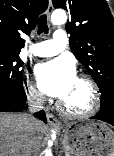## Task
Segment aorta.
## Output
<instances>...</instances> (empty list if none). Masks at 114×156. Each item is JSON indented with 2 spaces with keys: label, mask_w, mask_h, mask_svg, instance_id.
Returning a JSON list of instances; mask_svg holds the SVG:
<instances>
[{
  "label": "aorta",
  "mask_w": 114,
  "mask_h": 156,
  "mask_svg": "<svg viewBox=\"0 0 114 156\" xmlns=\"http://www.w3.org/2000/svg\"><path fill=\"white\" fill-rule=\"evenodd\" d=\"M67 20L66 12L64 10H55L52 13L51 21L54 25H61L64 24ZM45 156H52L51 150L46 149L45 150Z\"/></svg>",
  "instance_id": "1"
}]
</instances>
